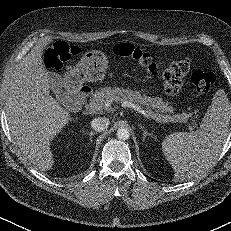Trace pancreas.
Instances as JSON below:
<instances>
[{
	"label": "pancreas",
	"instance_id": "cf45deb5",
	"mask_svg": "<svg viewBox=\"0 0 231 231\" xmlns=\"http://www.w3.org/2000/svg\"><path fill=\"white\" fill-rule=\"evenodd\" d=\"M90 101H97L102 104L104 102L112 103V102H131L136 105L145 108L148 113L156 115L158 117L159 122L167 123V122H177L176 116L172 115L174 109L169 106L162 99L156 97H149L146 94H141L140 91L132 90V89H124L119 87L111 88L109 86L100 87L95 90L94 95L91 97ZM154 110L155 112H153ZM160 112V113H159ZM184 116H188L187 114H183Z\"/></svg>",
	"mask_w": 231,
	"mask_h": 231
}]
</instances>
